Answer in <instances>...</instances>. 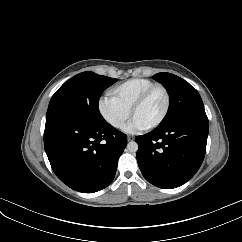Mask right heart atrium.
Masks as SVG:
<instances>
[{
  "label": "right heart atrium",
  "instance_id": "right-heart-atrium-1",
  "mask_svg": "<svg viewBox=\"0 0 242 242\" xmlns=\"http://www.w3.org/2000/svg\"><path fill=\"white\" fill-rule=\"evenodd\" d=\"M98 110L102 118L115 129L123 128L130 117V110L124 108L109 96L102 97L99 100Z\"/></svg>",
  "mask_w": 242,
  "mask_h": 242
}]
</instances>
